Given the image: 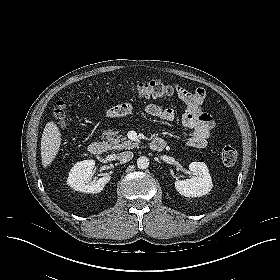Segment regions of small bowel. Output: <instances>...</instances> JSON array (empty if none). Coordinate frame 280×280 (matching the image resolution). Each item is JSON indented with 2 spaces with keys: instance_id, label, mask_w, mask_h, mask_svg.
Instances as JSON below:
<instances>
[{
  "instance_id": "1",
  "label": "small bowel",
  "mask_w": 280,
  "mask_h": 280,
  "mask_svg": "<svg viewBox=\"0 0 280 280\" xmlns=\"http://www.w3.org/2000/svg\"><path fill=\"white\" fill-rule=\"evenodd\" d=\"M178 98L185 104L182 115V125L191 131L188 144L195 148H204L215 128L213 117L203 110L206 92L203 89L188 91L180 86L176 87ZM115 105L106 110V114L112 118L124 116L122 106ZM144 111L153 117H157L164 122H171L175 119L173 109L163 107L159 104H148Z\"/></svg>"
}]
</instances>
